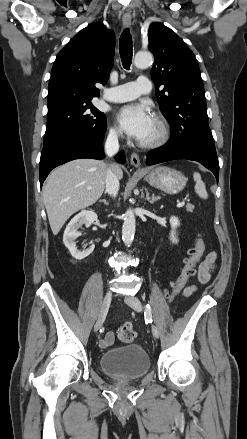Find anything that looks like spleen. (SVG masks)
<instances>
[{"label": "spleen", "instance_id": "spleen-1", "mask_svg": "<svg viewBox=\"0 0 247 439\" xmlns=\"http://www.w3.org/2000/svg\"><path fill=\"white\" fill-rule=\"evenodd\" d=\"M193 178L194 181L196 182L195 184V192L198 194V196L202 199H207L208 198V194L206 191V187L204 182L201 179V175L198 172H194L193 174Z\"/></svg>", "mask_w": 247, "mask_h": 439}]
</instances>
